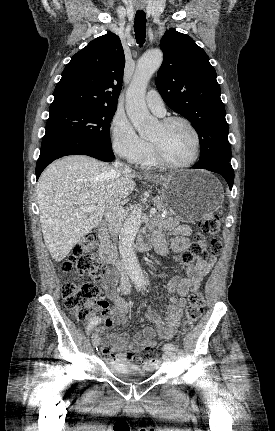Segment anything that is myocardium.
Wrapping results in <instances>:
<instances>
[{"mask_svg":"<svg viewBox=\"0 0 275 431\" xmlns=\"http://www.w3.org/2000/svg\"><path fill=\"white\" fill-rule=\"evenodd\" d=\"M177 122L183 123L192 132V134L194 136V140H195V151H194L192 158L189 161H187L185 163H179V164L178 163H172V162L168 161L161 154L158 146L155 143L150 142L151 155H152V158L154 159L155 163L157 165L164 167V168H167V169H183V168L191 167L192 165H194L197 162V160L199 159L200 154H201L200 135H199L197 129L195 128V126L187 118L181 117V116L165 117L160 121V125L163 128H167L170 125H172L173 123H177Z\"/></svg>","mask_w":275,"mask_h":431,"instance_id":"f54148a6","label":"myocardium"}]
</instances>
